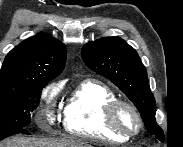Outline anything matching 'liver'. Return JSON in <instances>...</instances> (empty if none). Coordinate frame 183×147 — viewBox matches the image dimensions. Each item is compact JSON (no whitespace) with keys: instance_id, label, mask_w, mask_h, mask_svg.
Masks as SVG:
<instances>
[{"instance_id":"1","label":"liver","mask_w":183,"mask_h":147,"mask_svg":"<svg viewBox=\"0 0 183 147\" xmlns=\"http://www.w3.org/2000/svg\"><path fill=\"white\" fill-rule=\"evenodd\" d=\"M0 147H91V145L75 137L61 139L14 137L4 141Z\"/></svg>"}]
</instances>
